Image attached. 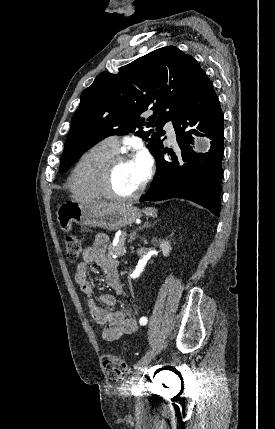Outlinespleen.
<instances>
[{
  "label": "spleen",
  "mask_w": 275,
  "mask_h": 429,
  "mask_svg": "<svg viewBox=\"0 0 275 429\" xmlns=\"http://www.w3.org/2000/svg\"><path fill=\"white\" fill-rule=\"evenodd\" d=\"M143 212L149 216L156 217L157 216V210L155 208H145Z\"/></svg>",
  "instance_id": "obj_1"
}]
</instances>
